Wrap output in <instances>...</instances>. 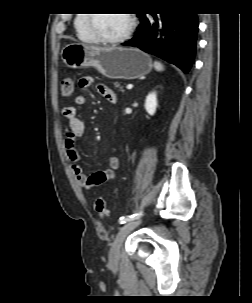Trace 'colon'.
Instances as JSON below:
<instances>
[{
    "label": "colon",
    "instance_id": "colon-1",
    "mask_svg": "<svg viewBox=\"0 0 252 303\" xmlns=\"http://www.w3.org/2000/svg\"><path fill=\"white\" fill-rule=\"evenodd\" d=\"M74 92V81L70 77H65L61 81V94L69 98ZM94 210L101 217H107L109 215V208L106 201L103 198L97 197L94 201Z\"/></svg>",
    "mask_w": 252,
    "mask_h": 303
}]
</instances>
